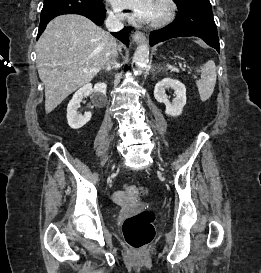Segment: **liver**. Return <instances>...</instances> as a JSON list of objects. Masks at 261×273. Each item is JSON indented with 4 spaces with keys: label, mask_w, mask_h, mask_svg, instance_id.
Wrapping results in <instances>:
<instances>
[{
    "label": "liver",
    "mask_w": 261,
    "mask_h": 273,
    "mask_svg": "<svg viewBox=\"0 0 261 273\" xmlns=\"http://www.w3.org/2000/svg\"><path fill=\"white\" fill-rule=\"evenodd\" d=\"M111 43L104 30L81 15L50 21L36 44L46 113L93 79L110 58Z\"/></svg>",
    "instance_id": "6515ba94"
}]
</instances>
